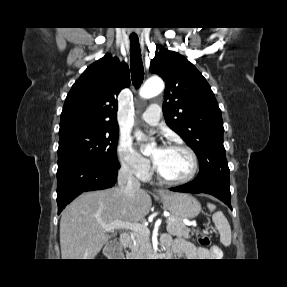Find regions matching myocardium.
Masks as SVG:
<instances>
[{
	"mask_svg": "<svg viewBox=\"0 0 287 287\" xmlns=\"http://www.w3.org/2000/svg\"><path fill=\"white\" fill-rule=\"evenodd\" d=\"M166 148H173V149H183L185 150L189 156L191 157L192 160V169L190 171V173L181 179H169L166 178L158 169L157 165L154 162V170L156 172V175L158 177V179L165 183V184H169V185H182V184H186L190 181H192L195 176L197 175L198 171H199V167H200V162H199V157L197 155V153L195 152V150L190 147L189 145L185 144V143H181V142H172L169 143Z\"/></svg>",
	"mask_w": 287,
	"mask_h": 287,
	"instance_id": "myocardium-1",
	"label": "myocardium"
}]
</instances>
